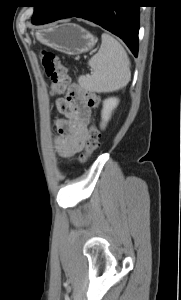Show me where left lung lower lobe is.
<instances>
[{
	"instance_id": "obj_1",
	"label": "left lung lower lobe",
	"mask_w": 181,
	"mask_h": 300,
	"mask_svg": "<svg viewBox=\"0 0 181 300\" xmlns=\"http://www.w3.org/2000/svg\"><path fill=\"white\" fill-rule=\"evenodd\" d=\"M137 0H57L42 22L79 17L92 21L120 37L138 55L139 5Z\"/></svg>"
}]
</instances>
